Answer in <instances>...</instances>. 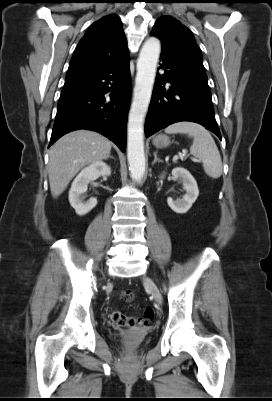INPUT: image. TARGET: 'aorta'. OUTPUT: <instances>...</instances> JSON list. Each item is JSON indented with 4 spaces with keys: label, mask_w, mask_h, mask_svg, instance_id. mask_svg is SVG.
<instances>
[{
    "label": "aorta",
    "mask_w": 272,
    "mask_h": 401,
    "mask_svg": "<svg viewBox=\"0 0 272 401\" xmlns=\"http://www.w3.org/2000/svg\"><path fill=\"white\" fill-rule=\"evenodd\" d=\"M161 42L155 37L143 44L137 61L133 101L128 116L127 158L133 180L140 182L145 173L144 119L151 100L160 56Z\"/></svg>",
    "instance_id": "obj_1"
}]
</instances>
